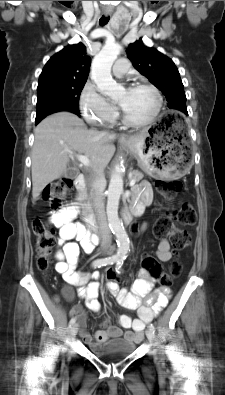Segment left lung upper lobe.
I'll return each instance as SVG.
<instances>
[{
  "mask_svg": "<svg viewBox=\"0 0 225 395\" xmlns=\"http://www.w3.org/2000/svg\"><path fill=\"white\" fill-rule=\"evenodd\" d=\"M126 52L134 68L166 96L168 107L188 115L184 86L174 62L158 50L146 47L141 39L129 44Z\"/></svg>",
  "mask_w": 225,
  "mask_h": 395,
  "instance_id": "1",
  "label": "left lung upper lobe"
}]
</instances>
